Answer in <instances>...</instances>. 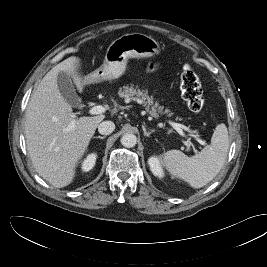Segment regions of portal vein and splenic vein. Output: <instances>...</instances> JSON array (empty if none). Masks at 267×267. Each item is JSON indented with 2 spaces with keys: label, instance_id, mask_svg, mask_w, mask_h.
Returning <instances> with one entry per match:
<instances>
[{
  "label": "portal vein and splenic vein",
  "instance_id": "portal-vein-and-splenic-vein-1",
  "mask_svg": "<svg viewBox=\"0 0 267 267\" xmlns=\"http://www.w3.org/2000/svg\"><path fill=\"white\" fill-rule=\"evenodd\" d=\"M106 111V108L104 106L98 105V106H93L92 108L89 109V113L91 115H97V114H102ZM74 121H72V123L70 124L69 128L72 129L74 128ZM171 125L174 127V129L180 133L181 135H183V129L187 132L190 133V136H192L198 143H200L201 145H206V143L200 139L195 133L194 131H192L191 129H189L188 127L178 124V123H174L171 122ZM186 145L189 146H193L192 142L190 141V139H187ZM195 152H197L195 150Z\"/></svg>",
  "mask_w": 267,
  "mask_h": 267
}]
</instances>
